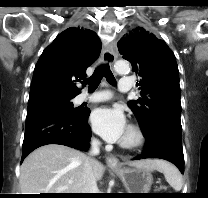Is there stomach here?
<instances>
[{
	"instance_id": "obj_1",
	"label": "stomach",
	"mask_w": 208,
	"mask_h": 198,
	"mask_svg": "<svg viewBox=\"0 0 208 198\" xmlns=\"http://www.w3.org/2000/svg\"><path fill=\"white\" fill-rule=\"evenodd\" d=\"M111 169L121 179L128 193H149L153 183L150 171L139 167H111Z\"/></svg>"
}]
</instances>
